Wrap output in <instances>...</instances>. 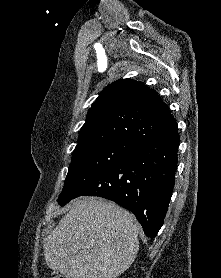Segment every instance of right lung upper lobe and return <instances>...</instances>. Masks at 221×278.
<instances>
[{
    "label": "right lung upper lobe",
    "instance_id": "right-lung-upper-lobe-1",
    "mask_svg": "<svg viewBox=\"0 0 221 278\" xmlns=\"http://www.w3.org/2000/svg\"><path fill=\"white\" fill-rule=\"evenodd\" d=\"M176 129L174 117L154 90L142 82L121 79L104 88L91 106L76 147L93 140L134 144Z\"/></svg>",
    "mask_w": 221,
    "mask_h": 278
}]
</instances>
